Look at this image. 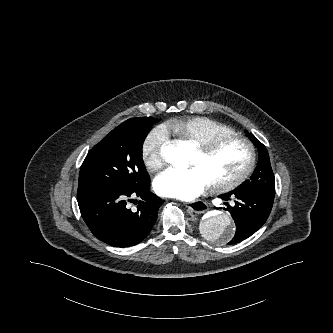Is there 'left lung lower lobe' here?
Wrapping results in <instances>:
<instances>
[{"instance_id": "1", "label": "left lung lower lobe", "mask_w": 333, "mask_h": 333, "mask_svg": "<svg viewBox=\"0 0 333 333\" xmlns=\"http://www.w3.org/2000/svg\"><path fill=\"white\" fill-rule=\"evenodd\" d=\"M219 197L225 201L235 199V205L228 206V210L236 224V233L228 244L243 241L255 233L266 222L274 202V196L249 191L234 190Z\"/></svg>"}]
</instances>
